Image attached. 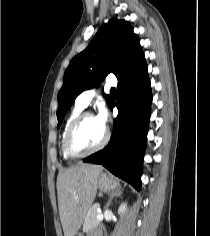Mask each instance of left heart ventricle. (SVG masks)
Returning a JSON list of instances; mask_svg holds the SVG:
<instances>
[{"label": "left heart ventricle", "instance_id": "b2bd125f", "mask_svg": "<svg viewBox=\"0 0 210 236\" xmlns=\"http://www.w3.org/2000/svg\"><path fill=\"white\" fill-rule=\"evenodd\" d=\"M104 133L105 129L96 122L95 117H88L76 130L73 145L76 149H90L102 141Z\"/></svg>", "mask_w": 210, "mask_h": 236}]
</instances>
